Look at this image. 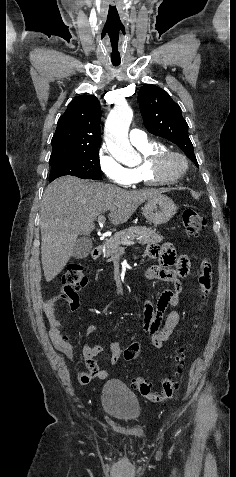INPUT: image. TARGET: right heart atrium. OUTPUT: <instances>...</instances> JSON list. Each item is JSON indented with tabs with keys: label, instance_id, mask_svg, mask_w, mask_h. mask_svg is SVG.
I'll return each mask as SVG.
<instances>
[{
	"label": "right heart atrium",
	"instance_id": "d8ad5b80",
	"mask_svg": "<svg viewBox=\"0 0 236 477\" xmlns=\"http://www.w3.org/2000/svg\"><path fill=\"white\" fill-rule=\"evenodd\" d=\"M98 163L100 170L112 184L122 187L130 186V176L127 168L104 145L99 150Z\"/></svg>",
	"mask_w": 236,
	"mask_h": 477
}]
</instances>
